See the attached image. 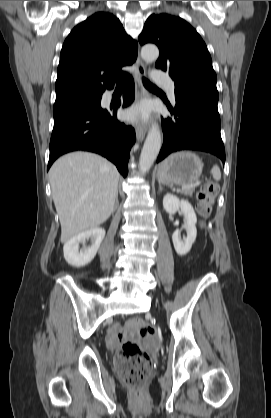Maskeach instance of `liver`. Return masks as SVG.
Segmentation results:
<instances>
[{"label":"liver","mask_w":271,"mask_h":418,"mask_svg":"<svg viewBox=\"0 0 271 418\" xmlns=\"http://www.w3.org/2000/svg\"><path fill=\"white\" fill-rule=\"evenodd\" d=\"M49 176L62 243L98 227L114 211L120 175L105 158L89 152L70 153L52 165Z\"/></svg>","instance_id":"obj_1"}]
</instances>
